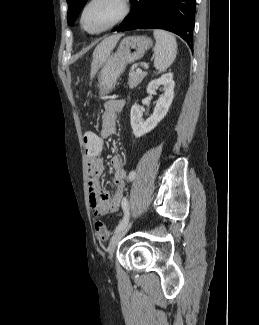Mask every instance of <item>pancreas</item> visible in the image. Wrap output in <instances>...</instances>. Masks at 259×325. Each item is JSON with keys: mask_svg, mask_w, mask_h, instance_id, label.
I'll return each mask as SVG.
<instances>
[{"mask_svg": "<svg viewBox=\"0 0 259 325\" xmlns=\"http://www.w3.org/2000/svg\"><path fill=\"white\" fill-rule=\"evenodd\" d=\"M147 75L146 72L137 73L134 70H131L129 73L128 85L131 89L137 87L144 77Z\"/></svg>", "mask_w": 259, "mask_h": 325, "instance_id": "1", "label": "pancreas"}]
</instances>
